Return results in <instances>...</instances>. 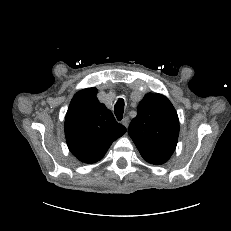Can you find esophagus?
Listing matches in <instances>:
<instances>
[{
  "mask_svg": "<svg viewBox=\"0 0 231 231\" xmlns=\"http://www.w3.org/2000/svg\"><path fill=\"white\" fill-rule=\"evenodd\" d=\"M122 124L127 128L128 125H129V118H128V117H125V118L122 120Z\"/></svg>",
  "mask_w": 231,
  "mask_h": 231,
  "instance_id": "1",
  "label": "esophagus"
}]
</instances>
